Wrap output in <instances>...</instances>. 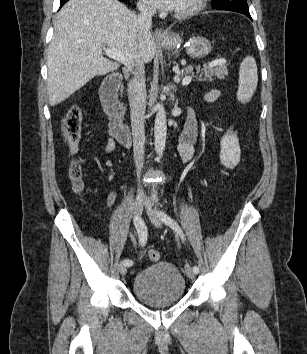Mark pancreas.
<instances>
[{
    "label": "pancreas",
    "instance_id": "cf45deb5",
    "mask_svg": "<svg viewBox=\"0 0 307 354\" xmlns=\"http://www.w3.org/2000/svg\"><path fill=\"white\" fill-rule=\"evenodd\" d=\"M213 62L204 65L203 68L196 66L197 71L196 80L197 81H212L213 78L223 79L228 75L227 66L224 64L212 65ZM194 66L188 65L181 72L184 75L190 74L193 72Z\"/></svg>",
    "mask_w": 307,
    "mask_h": 354
}]
</instances>
